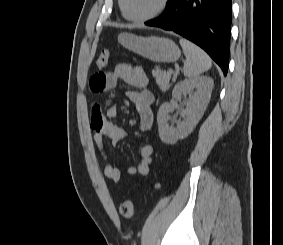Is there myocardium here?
<instances>
[{
  "label": "myocardium",
  "instance_id": "f54148a6",
  "mask_svg": "<svg viewBox=\"0 0 283 245\" xmlns=\"http://www.w3.org/2000/svg\"><path fill=\"white\" fill-rule=\"evenodd\" d=\"M169 0H161L159 6L150 14L142 17H131L127 14L125 9V0H119L120 9L125 19L132 22H146L161 15L167 8Z\"/></svg>",
  "mask_w": 283,
  "mask_h": 245
}]
</instances>
